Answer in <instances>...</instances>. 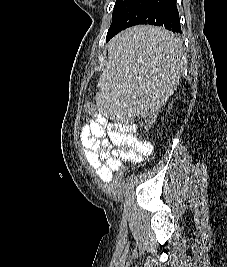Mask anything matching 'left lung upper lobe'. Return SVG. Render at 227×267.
<instances>
[{"mask_svg":"<svg viewBox=\"0 0 227 267\" xmlns=\"http://www.w3.org/2000/svg\"><path fill=\"white\" fill-rule=\"evenodd\" d=\"M126 1L127 0H116L115 6H114V11H116L118 8H120L124 3H126Z\"/></svg>","mask_w":227,"mask_h":267,"instance_id":"1","label":"left lung upper lobe"}]
</instances>
